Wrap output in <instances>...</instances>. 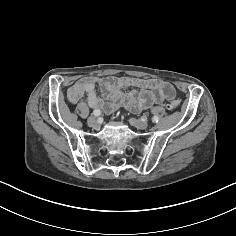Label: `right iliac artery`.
<instances>
[{"instance_id": "82829eb1", "label": "right iliac artery", "mask_w": 236, "mask_h": 236, "mask_svg": "<svg viewBox=\"0 0 236 236\" xmlns=\"http://www.w3.org/2000/svg\"><path fill=\"white\" fill-rule=\"evenodd\" d=\"M101 114V112L99 110H94L93 111V115L98 117Z\"/></svg>"}]
</instances>
